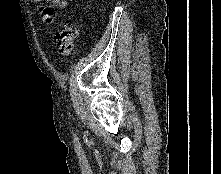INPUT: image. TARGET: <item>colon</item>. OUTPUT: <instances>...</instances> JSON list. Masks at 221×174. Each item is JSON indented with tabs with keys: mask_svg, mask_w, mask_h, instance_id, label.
<instances>
[{
	"mask_svg": "<svg viewBox=\"0 0 221 174\" xmlns=\"http://www.w3.org/2000/svg\"><path fill=\"white\" fill-rule=\"evenodd\" d=\"M77 36V24L73 21H65L61 30L55 35L58 51L61 56H67L72 52Z\"/></svg>",
	"mask_w": 221,
	"mask_h": 174,
	"instance_id": "5ec220e1",
	"label": "colon"
}]
</instances>
